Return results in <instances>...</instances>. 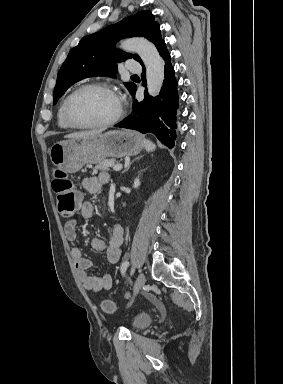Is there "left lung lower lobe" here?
Returning <instances> with one entry per match:
<instances>
[{
	"label": "left lung lower lobe",
	"mask_w": 283,
	"mask_h": 384,
	"mask_svg": "<svg viewBox=\"0 0 283 384\" xmlns=\"http://www.w3.org/2000/svg\"><path fill=\"white\" fill-rule=\"evenodd\" d=\"M165 60V79L159 96L152 98L145 90V98L138 102L134 100L132 115H129L115 127L137 130L141 133H153L162 143L172 148L176 139V114L179 95L174 68L170 54L163 43L158 49ZM145 67L143 66L142 80L145 82ZM136 90L132 93L135 95Z\"/></svg>",
	"instance_id": "0a47b994"
}]
</instances>
